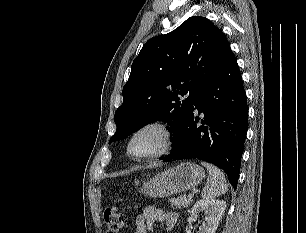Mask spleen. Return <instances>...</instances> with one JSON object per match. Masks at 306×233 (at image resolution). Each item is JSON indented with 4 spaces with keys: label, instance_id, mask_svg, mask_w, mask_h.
Returning a JSON list of instances; mask_svg holds the SVG:
<instances>
[{
    "label": "spleen",
    "instance_id": "1",
    "mask_svg": "<svg viewBox=\"0 0 306 233\" xmlns=\"http://www.w3.org/2000/svg\"><path fill=\"white\" fill-rule=\"evenodd\" d=\"M201 164L209 171L207 182L202 190V198L213 200L227 192L228 185L224 173L216 166L207 162H201Z\"/></svg>",
    "mask_w": 306,
    "mask_h": 233
}]
</instances>
